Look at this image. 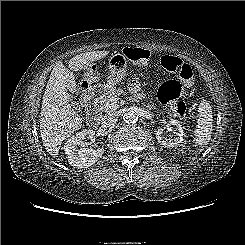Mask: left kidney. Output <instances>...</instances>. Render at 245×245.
<instances>
[{"mask_svg": "<svg viewBox=\"0 0 245 245\" xmlns=\"http://www.w3.org/2000/svg\"><path fill=\"white\" fill-rule=\"evenodd\" d=\"M173 127H175V129ZM171 131L175 134V137L166 138V133ZM156 138L160 145H162L165 148L179 146L184 141V132L181 124L177 120L172 119L170 121L169 126L164 128L161 127L158 129L156 133Z\"/></svg>", "mask_w": 245, "mask_h": 245, "instance_id": "5707ae66", "label": "left kidney"}]
</instances>
